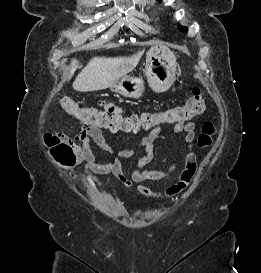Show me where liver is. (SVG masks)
<instances>
[{
    "instance_id": "obj_1",
    "label": "liver",
    "mask_w": 261,
    "mask_h": 273,
    "mask_svg": "<svg viewBox=\"0 0 261 273\" xmlns=\"http://www.w3.org/2000/svg\"><path fill=\"white\" fill-rule=\"evenodd\" d=\"M143 51L130 57H94L78 74L73 82L74 90L78 92H92L111 87L118 79L126 76L137 65ZM78 66L73 59L70 64L69 78Z\"/></svg>"
}]
</instances>
